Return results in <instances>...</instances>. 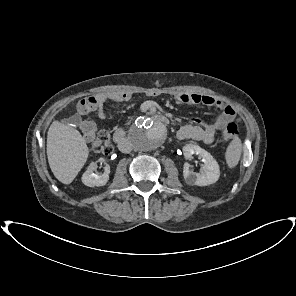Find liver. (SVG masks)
<instances>
[{"label":"liver","instance_id":"liver-1","mask_svg":"<svg viewBox=\"0 0 296 296\" xmlns=\"http://www.w3.org/2000/svg\"><path fill=\"white\" fill-rule=\"evenodd\" d=\"M89 149L80 132L53 121L47 133V157L54 176L70 184L87 161Z\"/></svg>","mask_w":296,"mask_h":296}]
</instances>
